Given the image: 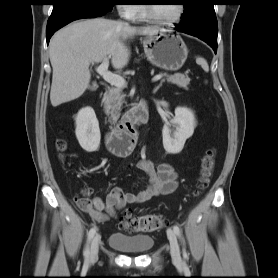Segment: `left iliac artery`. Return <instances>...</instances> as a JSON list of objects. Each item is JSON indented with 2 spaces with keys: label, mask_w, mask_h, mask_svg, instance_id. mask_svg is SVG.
<instances>
[{
  "label": "left iliac artery",
  "mask_w": 278,
  "mask_h": 278,
  "mask_svg": "<svg viewBox=\"0 0 278 278\" xmlns=\"http://www.w3.org/2000/svg\"><path fill=\"white\" fill-rule=\"evenodd\" d=\"M173 230H174V232H175V234H176L177 236H180V235H181L180 228H179V226H178L177 224L174 225Z\"/></svg>",
  "instance_id": "obj_1"
}]
</instances>
